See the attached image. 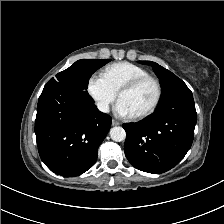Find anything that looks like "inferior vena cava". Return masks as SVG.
<instances>
[{"label": "inferior vena cava", "instance_id": "inferior-vena-cava-1", "mask_svg": "<svg viewBox=\"0 0 224 224\" xmlns=\"http://www.w3.org/2000/svg\"><path fill=\"white\" fill-rule=\"evenodd\" d=\"M97 108L104 113L109 112V104L107 102H98Z\"/></svg>", "mask_w": 224, "mask_h": 224}]
</instances>
